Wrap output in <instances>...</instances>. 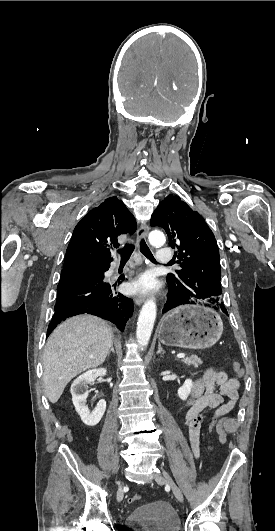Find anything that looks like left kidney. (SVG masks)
<instances>
[{"mask_svg":"<svg viewBox=\"0 0 275 531\" xmlns=\"http://www.w3.org/2000/svg\"><path fill=\"white\" fill-rule=\"evenodd\" d=\"M193 387L192 379H186L184 385L182 387H179L178 389V397L182 399V401H186L188 395L191 393V389Z\"/></svg>","mask_w":275,"mask_h":531,"instance_id":"1","label":"left kidney"}]
</instances>
